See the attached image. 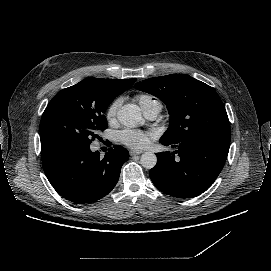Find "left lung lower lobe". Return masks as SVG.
Masks as SVG:
<instances>
[{"label":"left lung lower lobe","instance_id":"1","mask_svg":"<svg viewBox=\"0 0 271 271\" xmlns=\"http://www.w3.org/2000/svg\"><path fill=\"white\" fill-rule=\"evenodd\" d=\"M175 153H157L158 162L149 172L153 184L162 192L192 198L206 191L221 172L230 146V137L218 134H199L186 142L170 143Z\"/></svg>","mask_w":271,"mask_h":271}]
</instances>
